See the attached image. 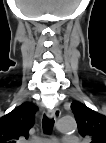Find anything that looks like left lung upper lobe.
Masks as SVG:
<instances>
[{"mask_svg": "<svg viewBox=\"0 0 106 143\" xmlns=\"http://www.w3.org/2000/svg\"><path fill=\"white\" fill-rule=\"evenodd\" d=\"M71 109L81 136L90 138L91 143H106V116L78 101L71 104Z\"/></svg>", "mask_w": 106, "mask_h": 143, "instance_id": "5c2ea615", "label": "left lung upper lobe"}]
</instances>
